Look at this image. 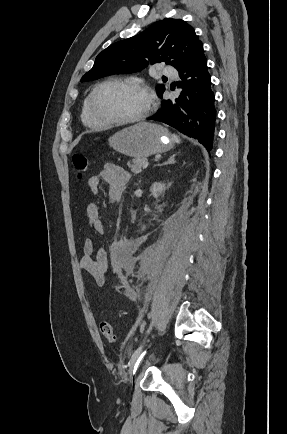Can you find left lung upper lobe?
I'll use <instances>...</instances> for the list:
<instances>
[{"label":"left lung upper lobe","mask_w":287,"mask_h":434,"mask_svg":"<svg viewBox=\"0 0 287 434\" xmlns=\"http://www.w3.org/2000/svg\"><path fill=\"white\" fill-rule=\"evenodd\" d=\"M202 53L203 44L190 25L181 19L166 18L136 36L107 47L81 80L139 72L148 64L162 61L178 70ZM156 90L161 97L165 87L158 84Z\"/></svg>","instance_id":"obj_1"}]
</instances>
